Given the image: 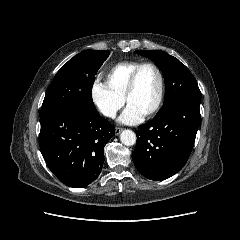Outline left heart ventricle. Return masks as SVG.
I'll return each mask as SVG.
<instances>
[{
    "mask_svg": "<svg viewBox=\"0 0 240 240\" xmlns=\"http://www.w3.org/2000/svg\"><path fill=\"white\" fill-rule=\"evenodd\" d=\"M159 91V78L151 67L143 68L138 76L136 88L128 98V104L137 108L142 114L155 103Z\"/></svg>",
    "mask_w": 240,
    "mask_h": 240,
    "instance_id": "b2bd125f",
    "label": "left heart ventricle"
}]
</instances>
